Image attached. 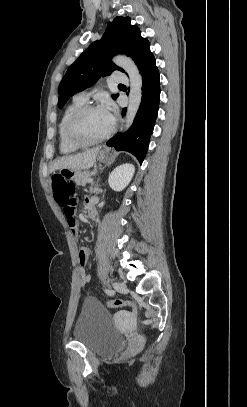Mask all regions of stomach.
Listing matches in <instances>:
<instances>
[{
	"mask_svg": "<svg viewBox=\"0 0 247 407\" xmlns=\"http://www.w3.org/2000/svg\"><path fill=\"white\" fill-rule=\"evenodd\" d=\"M108 158V151L104 150L99 153L100 161H106ZM59 174L61 178H78L80 171L78 170V166H60Z\"/></svg>",
	"mask_w": 247,
	"mask_h": 407,
	"instance_id": "0dacf381",
	"label": "stomach"
}]
</instances>
